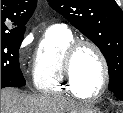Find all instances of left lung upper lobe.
<instances>
[{
	"mask_svg": "<svg viewBox=\"0 0 123 113\" xmlns=\"http://www.w3.org/2000/svg\"><path fill=\"white\" fill-rule=\"evenodd\" d=\"M99 47L109 70V90L123 100V12L115 0H48Z\"/></svg>",
	"mask_w": 123,
	"mask_h": 113,
	"instance_id": "left-lung-upper-lobe-1",
	"label": "left lung upper lobe"
}]
</instances>
